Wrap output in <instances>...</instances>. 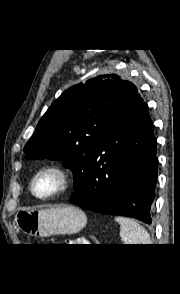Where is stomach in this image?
Instances as JSON below:
<instances>
[{
    "label": "stomach",
    "instance_id": "obj_1",
    "mask_svg": "<svg viewBox=\"0 0 180 294\" xmlns=\"http://www.w3.org/2000/svg\"><path fill=\"white\" fill-rule=\"evenodd\" d=\"M17 227L29 236L48 237L71 235L84 228L85 213L74 206L65 205L49 209H26L15 215Z\"/></svg>",
    "mask_w": 180,
    "mask_h": 294
}]
</instances>
